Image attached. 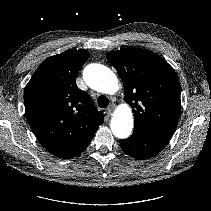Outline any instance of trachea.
<instances>
[{
	"instance_id": "3493384b",
	"label": "trachea",
	"mask_w": 211,
	"mask_h": 211,
	"mask_svg": "<svg viewBox=\"0 0 211 211\" xmlns=\"http://www.w3.org/2000/svg\"><path fill=\"white\" fill-rule=\"evenodd\" d=\"M97 102L100 108H106L109 105V99L104 95L99 96Z\"/></svg>"
}]
</instances>
